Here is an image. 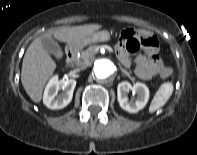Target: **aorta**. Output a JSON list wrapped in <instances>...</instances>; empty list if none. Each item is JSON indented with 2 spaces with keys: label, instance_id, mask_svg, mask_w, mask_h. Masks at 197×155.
<instances>
[{
  "label": "aorta",
  "instance_id": "obj_1",
  "mask_svg": "<svg viewBox=\"0 0 197 155\" xmlns=\"http://www.w3.org/2000/svg\"><path fill=\"white\" fill-rule=\"evenodd\" d=\"M93 70L95 76L103 80L111 77L116 72V66L111 60L103 58L94 62Z\"/></svg>",
  "mask_w": 197,
  "mask_h": 155
}]
</instances>
